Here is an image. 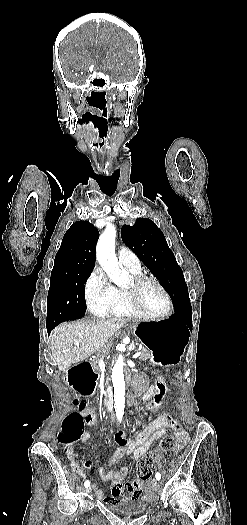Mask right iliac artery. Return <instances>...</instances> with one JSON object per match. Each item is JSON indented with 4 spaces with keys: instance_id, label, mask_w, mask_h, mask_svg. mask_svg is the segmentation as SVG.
<instances>
[{
    "instance_id": "1",
    "label": "right iliac artery",
    "mask_w": 247,
    "mask_h": 525,
    "mask_svg": "<svg viewBox=\"0 0 247 525\" xmlns=\"http://www.w3.org/2000/svg\"><path fill=\"white\" fill-rule=\"evenodd\" d=\"M89 485H90V482H89L88 480L85 481L84 486H85V487H88Z\"/></svg>"
}]
</instances>
